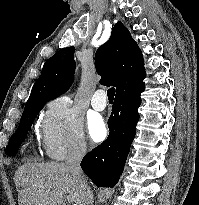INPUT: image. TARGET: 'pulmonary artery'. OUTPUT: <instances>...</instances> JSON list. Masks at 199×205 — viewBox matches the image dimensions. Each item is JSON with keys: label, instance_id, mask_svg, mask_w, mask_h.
<instances>
[{"label": "pulmonary artery", "instance_id": "e3ab8cb5", "mask_svg": "<svg viewBox=\"0 0 199 205\" xmlns=\"http://www.w3.org/2000/svg\"><path fill=\"white\" fill-rule=\"evenodd\" d=\"M91 105L96 111H103L107 106V98L102 89H98L94 92Z\"/></svg>", "mask_w": 199, "mask_h": 205}]
</instances>
